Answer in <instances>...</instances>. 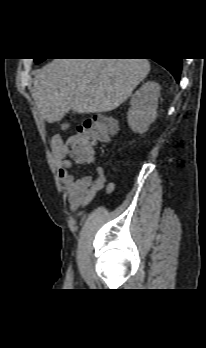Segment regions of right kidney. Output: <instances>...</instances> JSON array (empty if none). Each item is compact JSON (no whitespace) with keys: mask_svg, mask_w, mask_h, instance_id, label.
<instances>
[{"mask_svg":"<svg viewBox=\"0 0 206 348\" xmlns=\"http://www.w3.org/2000/svg\"><path fill=\"white\" fill-rule=\"evenodd\" d=\"M160 85L154 81L144 83L131 97L127 113L129 127L138 133H144L156 119Z\"/></svg>","mask_w":206,"mask_h":348,"instance_id":"ca27d5eb","label":"right kidney"}]
</instances>
